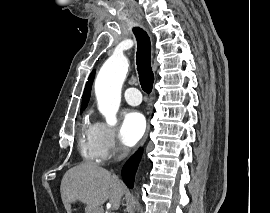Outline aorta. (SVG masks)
<instances>
[{
	"label": "aorta",
	"instance_id": "obj_1",
	"mask_svg": "<svg viewBox=\"0 0 270 213\" xmlns=\"http://www.w3.org/2000/svg\"><path fill=\"white\" fill-rule=\"evenodd\" d=\"M128 59L119 54H113L101 67L96 81L95 93L99 111L105 117L107 124L117 123L116 113L121 102V88L128 72Z\"/></svg>",
	"mask_w": 270,
	"mask_h": 213
}]
</instances>
